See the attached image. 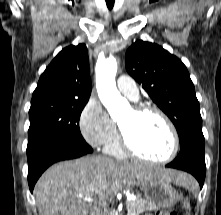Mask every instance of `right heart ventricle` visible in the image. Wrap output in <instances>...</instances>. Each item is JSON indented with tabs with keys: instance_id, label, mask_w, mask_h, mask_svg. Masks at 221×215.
Wrapping results in <instances>:
<instances>
[{
	"instance_id": "obj_1",
	"label": "right heart ventricle",
	"mask_w": 221,
	"mask_h": 215,
	"mask_svg": "<svg viewBox=\"0 0 221 215\" xmlns=\"http://www.w3.org/2000/svg\"><path fill=\"white\" fill-rule=\"evenodd\" d=\"M105 151L117 158H125L126 153L123 151L118 132H116V135L114 138L105 145Z\"/></svg>"
}]
</instances>
